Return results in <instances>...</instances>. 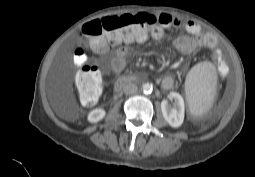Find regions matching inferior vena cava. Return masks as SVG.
Wrapping results in <instances>:
<instances>
[{"label": "inferior vena cava", "instance_id": "inferior-vena-cava-1", "mask_svg": "<svg viewBox=\"0 0 255 177\" xmlns=\"http://www.w3.org/2000/svg\"><path fill=\"white\" fill-rule=\"evenodd\" d=\"M138 90L137 85L133 83H128L124 86L123 91L125 94L130 95V94H135Z\"/></svg>", "mask_w": 255, "mask_h": 177}]
</instances>
